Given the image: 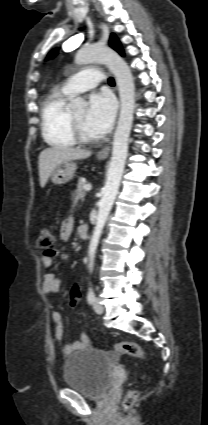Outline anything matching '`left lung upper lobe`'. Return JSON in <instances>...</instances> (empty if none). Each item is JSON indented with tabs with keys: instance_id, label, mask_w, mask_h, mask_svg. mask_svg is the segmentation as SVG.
<instances>
[{
	"instance_id": "5c2ea615",
	"label": "left lung upper lobe",
	"mask_w": 208,
	"mask_h": 425,
	"mask_svg": "<svg viewBox=\"0 0 208 425\" xmlns=\"http://www.w3.org/2000/svg\"><path fill=\"white\" fill-rule=\"evenodd\" d=\"M109 45L115 49L118 53H120L121 55H124V52L122 50L121 44L119 42V40L117 39V37L115 36V34L111 35L110 41H109ZM57 54V49H53L49 55L48 58H52L53 56H55Z\"/></svg>"
}]
</instances>
